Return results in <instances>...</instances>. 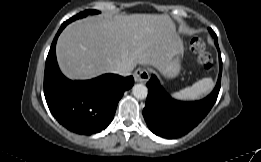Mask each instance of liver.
<instances>
[{"instance_id":"1","label":"liver","mask_w":261,"mask_h":162,"mask_svg":"<svg viewBox=\"0 0 261 162\" xmlns=\"http://www.w3.org/2000/svg\"><path fill=\"white\" fill-rule=\"evenodd\" d=\"M180 40L168 15L116 14L93 16L66 27L56 55L70 79H90L117 65H152L157 69L172 56Z\"/></svg>"}]
</instances>
